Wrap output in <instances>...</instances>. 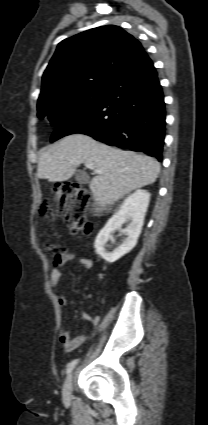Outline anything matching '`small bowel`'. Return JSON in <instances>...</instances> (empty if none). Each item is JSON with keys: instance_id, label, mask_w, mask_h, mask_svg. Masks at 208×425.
<instances>
[{"instance_id": "obj_1", "label": "small bowel", "mask_w": 208, "mask_h": 425, "mask_svg": "<svg viewBox=\"0 0 208 425\" xmlns=\"http://www.w3.org/2000/svg\"><path fill=\"white\" fill-rule=\"evenodd\" d=\"M69 261H77L87 269H90L93 265L92 260L84 257H77L75 254L68 251L62 252L59 258L55 260V264L63 265ZM50 278L51 285L56 287L61 278V271L58 267L52 269ZM57 301L61 307H65L67 304L66 299L62 295H57ZM84 318L93 324H96L99 321V316H93L89 313H84ZM59 341L66 351H73L85 341V336L71 337L66 329L61 328L59 333Z\"/></svg>"}]
</instances>
